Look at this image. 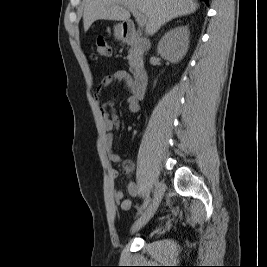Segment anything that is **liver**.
I'll list each match as a JSON object with an SVG mask.
<instances>
[{
  "instance_id": "obj_1",
  "label": "liver",
  "mask_w": 267,
  "mask_h": 267,
  "mask_svg": "<svg viewBox=\"0 0 267 267\" xmlns=\"http://www.w3.org/2000/svg\"><path fill=\"white\" fill-rule=\"evenodd\" d=\"M123 4L145 15L146 33L149 35L155 34L174 18L194 13L199 7L194 0H83L84 31H88L96 20H128L130 12Z\"/></svg>"
}]
</instances>
